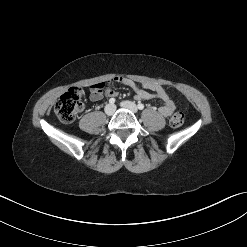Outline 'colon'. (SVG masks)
<instances>
[{
	"label": "colon",
	"mask_w": 247,
	"mask_h": 247,
	"mask_svg": "<svg viewBox=\"0 0 247 247\" xmlns=\"http://www.w3.org/2000/svg\"><path fill=\"white\" fill-rule=\"evenodd\" d=\"M106 83H98L91 87V91H103L106 88ZM82 94L81 88L74 87L64 93L56 102L54 111L60 121L66 124L73 123L78 112L82 109ZM184 123V113L180 109H176L170 119V125L173 128H179Z\"/></svg>",
	"instance_id": "obj_1"
}]
</instances>
